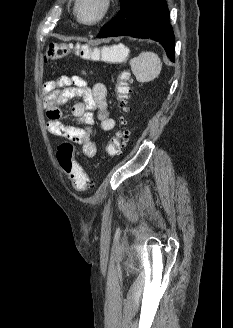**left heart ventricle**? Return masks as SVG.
<instances>
[{
    "mask_svg": "<svg viewBox=\"0 0 233 328\" xmlns=\"http://www.w3.org/2000/svg\"><path fill=\"white\" fill-rule=\"evenodd\" d=\"M101 9L100 0H82L81 12L82 17L85 20H91L95 18Z\"/></svg>",
    "mask_w": 233,
    "mask_h": 328,
    "instance_id": "b2bd125f",
    "label": "left heart ventricle"
}]
</instances>
